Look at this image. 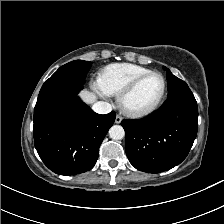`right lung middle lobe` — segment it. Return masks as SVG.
Listing matches in <instances>:
<instances>
[{
    "label": "right lung middle lobe",
    "instance_id": "dd1d6c3e",
    "mask_svg": "<svg viewBox=\"0 0 224 224\" xmlns=\"http://www.w3.org/2000/svg\"><path fill=\"white\" fill-rule=\"evenodd\" d=\"M91 62L75 60L60 67L52 76L58 78H72L82 83L90 69Z\"/></svg>",
    "mask_w": 224,
    "mask_h": 224
}]
</instances>
